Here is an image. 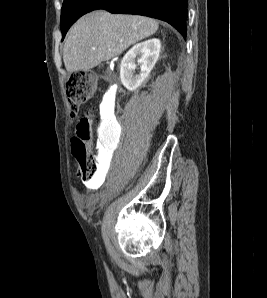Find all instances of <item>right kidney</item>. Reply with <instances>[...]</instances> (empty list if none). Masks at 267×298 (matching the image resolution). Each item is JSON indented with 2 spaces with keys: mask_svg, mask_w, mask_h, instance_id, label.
<instances>
[{
  "mask_svg": "<svg viewBox=\"0 0 267 298\" xmlns=\"http://www.w3.org/2000/svg\"><path fill=\"white\" fill-rule=\"evenodd\" d=\"M160 49V40L153 38L134 45L125 54L120 66V78L125 88L134 91L141 85L158 60ZM136 57H139L137 62L140 65V73L133 75Z\"/></svg>",
  "mask_w": 267,
  "mask_h": 298,
  "instance_id": "ca27d5eb",
  "label": "right kidney"
}]
</instances>
